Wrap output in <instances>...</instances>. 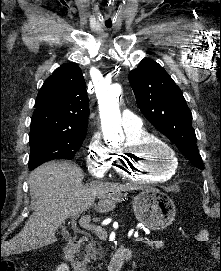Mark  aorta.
<instances>
[{
	"label": "aorta",
	"instance_id": "obj_1",
	"mask_svg": "<svg viewBox=\"0 0 221 271\" xmlns=\"http://www.w3.org/2000/svg\"><path fill=\"white\" fill-rule=\"evenodd\" d=\"M122 88L119 84H114L110 89L99 97V110L103 129L112 130L116 133L122 131L121 114L118 106V98L121 95Z\"/></svg>",
	"mask_w": 221,
	"mask_h": 271
}]
</instances>
